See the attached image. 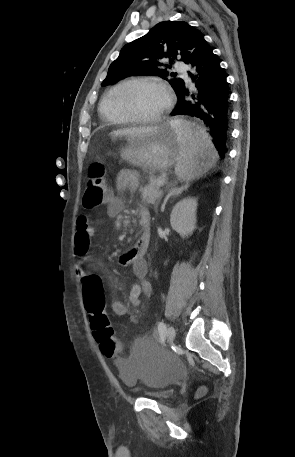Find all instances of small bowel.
<instances>
[{
    "instance_id": "c3829d8e",
    "label": "small bowel",
    "mask_w": 295,
    "mask_h": 457,
    "mask_svg": "<svg viewBox=\"0 0 295 457\" xmlns=\"http://www.w3.org/2000/svg\"><path fill=\"white\" fill-rule=\"evenodd\" d=\"M116 186L121 191H134L139 186L138 175L130 170H123L119 173ZM124 208L121 198L111 195L107 203V215L109 217H119ZM138 218L142 226V234L137 243L129 250L123 252L118 257V262L124 266H130L138 281L132 286L129 294L130 305L137 307L140 304L142 294L153 297L154 292L151 284L145 279L147 274V263L144 255L150 242V215L146 208L138 207ZM95 235V228L92 221L86 215L77 217V232L75 236V256L74 271L77 278L84 286V282L92 276L85 271L84 264L90 257V244ZM97 277V276H96ZM112 311L118 316H130L134 321L138 320L136 315L130 313L128 306L122 301L115 300L111 304ZM116 343H119L115 340ZM141 345V344H138ZM122 352V346H121Z\"/></svg>"
}]
</instances>
